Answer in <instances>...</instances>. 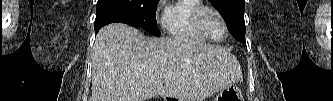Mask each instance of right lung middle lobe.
Masks as SVG:
<instances>
[{"label":"right lung middle lobe","instance_id":"obj_1","mask_svg":"<svg viewBox=\"0 0 333 101\" xmlns=\"http://www.w3.org/2000/svg\"><path fill=\"white\" fill-rule=\"evenodd\" d=\"M104 0H98L97 4ZM125 8L133 19L135 27H141L145 31L159 36L161 33L157 27L156 8L159 0H116Z\"/></svg>","mask_w":333,"mask_h":101}]
</instances>
